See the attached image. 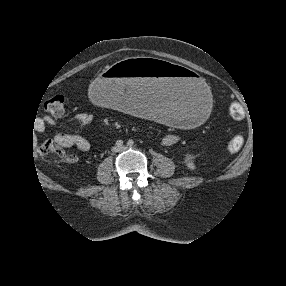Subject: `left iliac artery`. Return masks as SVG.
<instances>
[{
  "mask_svg": "<svg viewBox=\"0 0 286 286\" xmlns=\"http://www.w3.org/2000/svg\"><path fill=\"white\" fill-rule=\"evenodd\" d=\"M133 144H134V141L130 139V140L128 141V145H129V146H132Z\"/></svg>",
  "mask_w": 286,
  "mask_h": 286,
  "instance_id": "obj_1",
  "label": "left iliac artery"
}]
</instances>
